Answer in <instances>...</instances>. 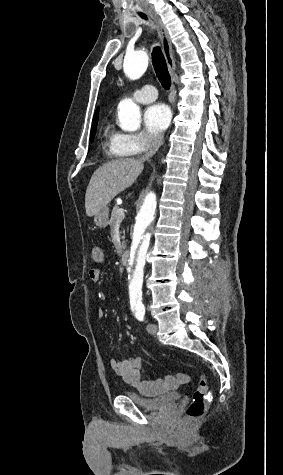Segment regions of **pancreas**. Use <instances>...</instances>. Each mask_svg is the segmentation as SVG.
<instances>
[{
  "label": "pancreas",
  "mask_w": 283,
  "mask_h": 475,
  "mask_svg": "<svg viewBox=\"0 0 283 475\" xmlns=\"http://www.w3.org/2000/svg\"><path fill=\"white\" fill-rule=\"evenodd\" d=\"M123 218H124V214L122 216L121 208H119V206H114L112 210V214H111L110 224H113V222H118V220H123ZM122 245H124L125 247V241H122Z\"/></svg>",
  "instance_id": "pancreas-1"
}]
</instances>
